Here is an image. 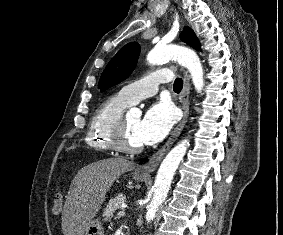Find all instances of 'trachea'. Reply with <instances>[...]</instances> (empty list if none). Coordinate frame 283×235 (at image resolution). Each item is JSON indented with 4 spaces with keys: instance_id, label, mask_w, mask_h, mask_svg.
Masks as SVG:
<instances>
[{
    "instance_id": "obj_1",
    "label": "trachea",
    "mask_w": 283,
    "mask_h": 235,
    "mask_svg": "<svg viewBox=\"0 0 283 235\" xmlns=\"http://www.w3.org/2000/svg\"><path fill=\"white\" fill-rule=\"evenodd\" d=\"M183 88V81L181 78H176L174 85H173V89L175 92H180Z\"/></svg>"
}]
</instances>
